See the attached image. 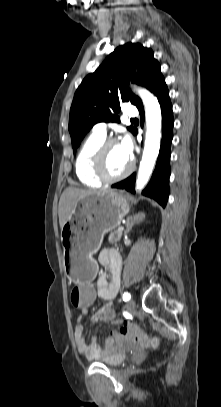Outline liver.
<instances>
[{
  "mask_svg": "<svg viewBox=\"0 0 221 407\" xmlns=\"http://www.w3.org/2000/svg\"><path fill=\"white\" fill-rule=\"evenodd\" d=\"M102 191V190H100ZM96 190H83L69 187L61 195L59 201V208H58V215H59V224L60 228L64 226L66 220L71 216L74 205L76 204L77 200L81 197L95 194Z\"/></svg>",
  "mask_w": 221,
  "mask_h": 407,
  "instance_id": "liver-1",
  "label": "liver"
}]
</instances>
